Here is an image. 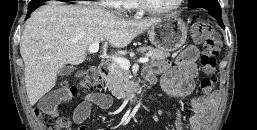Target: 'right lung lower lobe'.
Returning a JSON list of instances; mask_svg holds the SVG:
<instances>
[{"label":"right lung lower lobe","instance_id":"1","mask_svg":"<svg viewBox=\"0 0 257 130\" xmlns=\"http://www.w3.org/2000/svg\"><path fill=\"white\" fill-rule=\"evenodd\" d=\"M43 2H44V1H43ZM43 2H42V3H43ZM32 11H34V10H30V9H29V10H28V14H30Z\"/></svg>","mask_w":257,"mask_h":130}]
</instances>
